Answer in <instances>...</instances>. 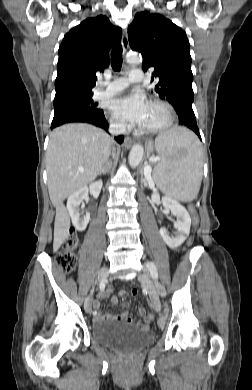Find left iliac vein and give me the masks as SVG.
<instances>
[{"instance_id":"obj_1","label":"left iliac vein","mask_w":252,"mask_h":390,"mask_svg":"<svg viewBox=\"0 0 252 390\" xmlns=\"http://www.w3.org/2000/svg\"><path fill=\"white\" fill-rule=\"evenodd\" d=\"M139 281L146 287L149 293V297L152 302V306L155 311L159 312L161 310V303L159 299V293H165V288L160 283H154L150 277V273L147 269L143 270L138 276Z\"/></svg>"}]
</instances>
